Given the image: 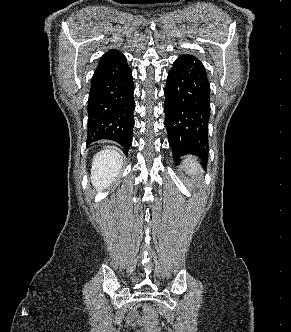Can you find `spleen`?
<instances>
[{
    "mask_svg": "<svg viewBox=\"0 0 291 332\" xmlns=\"http://www.w3.org/2000/svg\"><path fill=\"white\" fill-rule=\"evenodd\" d=\"M182 165L185 172L192 177L198 176L201 172V166L199 160L195 156L192 155L185 156Z\"/></svg>",
    "mask_w": 291,
    "mask_h": 332,
    "instance_id": "spleen-1",
    "label": "spleen"
}]
</instances>
